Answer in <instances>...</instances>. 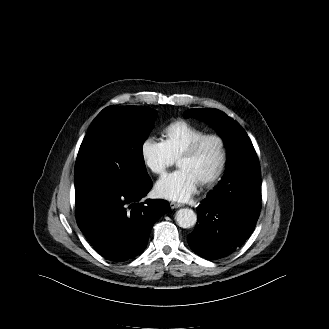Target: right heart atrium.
<instances>
[{
	"label": "right heart atrium",
	"instance_id": "d8ad5b80",
	"mask_svg": "<svg viewBox=\"0 0 329 329\" xmlns=\"http://www.w3.org/2000/svg\"><path fill=\"white\" fill-rule=\"evenodd\" d=\"M145 166L154 174L162 175L175 161L163 141L146 137L140 146Z\"/></svg>",
	"mask_w": 329,
	"mask_h": 329
}]
</instances>
